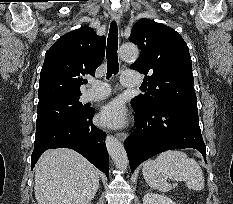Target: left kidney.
Returning a JSON list of instances; mask_svg holds the SVG:
<instances>
[{
	"instance_id": "obj_1",
	"label": "left kidney",
	"mask_w": 233,
	"mask_h": 204,
	"mask_svg": "<svg viewBox=\"0 0 233 204\" xmlns=\"http://www.w3.org/2000/svg\"><path fill=\"white\" fill-rule=\"evenodd\" d=\"M143 204H176L169 197L156 193H147L143 198Z\"/></svg>"
}]
</instances>
